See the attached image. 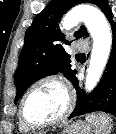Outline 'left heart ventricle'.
<instances>
[{
    "label": "left heart ventricle",
    "instance_id": "obj_1",
    "mask_svg": "<svg viewBox=\"0 0 116 134\" xmlns=\"http://www.w3.org/2000/svg\"><path fill=\"white\" fill-rule=\"evenodd\" d=\"M67 106V95L57 83H45L33 89L26 98L25 116L40 123L60 116Z\"/></svg>",
    "mask_w": 116,
    "mask_h": 134
}]
</instances>
